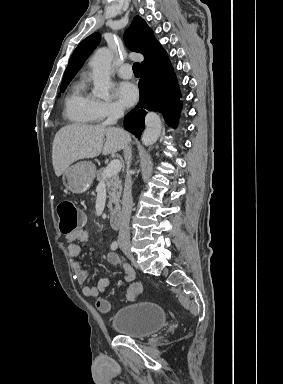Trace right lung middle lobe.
<instances>
[{"label":"right lung middle lobe","instance_id":"dd1d6c3e","mask_svg":"<svg viewBox=\"0 0 283 384\" xmlns=\"http://www.w3.org/2000/svg\"><path fill=\"white\" fill-rule=\"evenodd\" d=\"M69 84V82H66V83H62L61 84V92H64L65 91V89H66V87H67V85ZM59 96H60V94H59Z\"/></svg>","mask_w":283,"mask_h":384}]
</instances>
